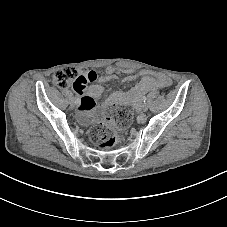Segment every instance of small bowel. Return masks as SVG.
<instances>
[{
	"label": "small bowel",
	"instance_id": "small-bowel-1",
	"mask_svg": "<svg viewBox=\"0 0 227 227\" xmlns=\"http://www.w3.org/2000/svg\"><path fill=\"white\" fill-rule=\"evenodd\" d=\"M121 72L128 75L127 80H132L135 78L132 69H121L117 67L107 68L105 73L99 78L95 71H80L79 80L73 83V88L76 93L81 96L77 113L78 119L81 123L86 124L90 121L89 114L94 109L96 100L104 92L103 85L94 84L87 86V83L95 81L96 79H99V81L102 83L108 82L117 78L118 74ZM171 84V79L163 74L144 76L129 94L116 92L112 94L106 101H104L102 106H110L116 103L129 101L137 107L139 106V102L144 94L154 89L169 87Z\"/></svg>",
	"mask_w": 227,
	"mask_h": 227
}]
</instances>
